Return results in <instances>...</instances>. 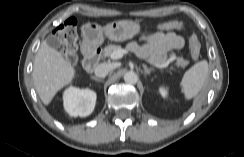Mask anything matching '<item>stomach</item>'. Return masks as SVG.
<instances>
[{"mask_svg": "<svg viewBox=\"0 0 244 157\" xmlns=\"http://www.w3.org/2000/svg\"><path fill=\"white\" fill-rule=\"evenodd\" d=\"M141 26L138 21L119 20L107 24L105 27L97 23H87L82 27L83 45L96 47L103 43L104 36L111 41L121 42L139 34Z\"/></svg>", "mask_w": 244, "mask_h": 157, "instance_id": "obj_1", "label": "stomach"}]
</instances>
